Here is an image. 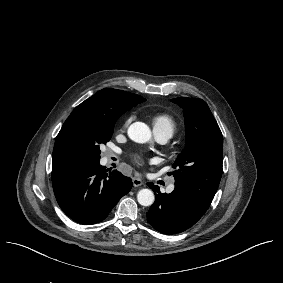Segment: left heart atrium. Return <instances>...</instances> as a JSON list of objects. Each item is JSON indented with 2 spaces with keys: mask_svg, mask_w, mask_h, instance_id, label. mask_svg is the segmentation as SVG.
<instances>
[{
  "mask_svg": "<svg viewBox=\"0 0 283 283\" xmlns=\"http://www.w3.org/2000/svg\"><path fill=\"white\" fill-rule=\"evenodd\" d=\"M135 158H136V160H138V161H140V160L144 159V157H143V156H141V155H137Z\"/></svg>",
  "mask_w": 283,
  "mask_h": 283,
  "instance_id": "1",
  "label": "left heart atrium"
}]
</instances>
